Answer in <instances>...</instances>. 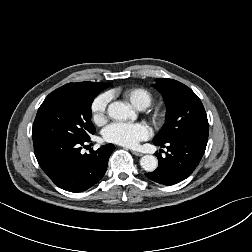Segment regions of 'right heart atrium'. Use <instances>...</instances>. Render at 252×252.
I'll return each mask as SVG.
<instances>
[{"mask_svg": "<svg viewBox=\"0 0 252 252\" xmlns=\"http://www.w3.org/2000/svg\"><path fill=\"white\" fill-rule=\"evenodd\" d=\"M110 96L108 94L98 95L91 104V116L93 121L101 125L107 120V110Z\"/></svg>", "mask_w": 252, "mask_h": 252, "instance_id": "1", "label": "right heart atrium"}]
</instances>
